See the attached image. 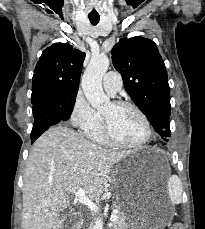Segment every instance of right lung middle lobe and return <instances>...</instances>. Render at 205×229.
<instances>
[{"label": "right lung middle lobe", "instance_id": "right-lung-middle-lobe-1", "mask_svg": "<svg viewBox=\"0 0 205 229\" xmlns=\"http://www.w3.org/2000/svg\"><path fill=\"white\" fill-rule=\"evenodd\" d=\"M77 92L78 91H73L71 93H68L67 95L70 96L72 99L75 100L76 99V96H77ZM44 98H46V97H44ZM44 98H42V99H44ZM42 99H40V100H42ZM40 100H38V101H32V104H35V103L39 102Z\"/></svg>", "mask_w": 205, "mask_h": 229}]
</instances>
